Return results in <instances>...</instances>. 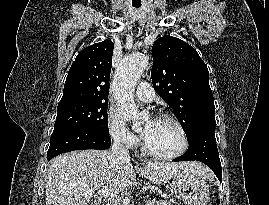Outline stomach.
I'll list each match as a JSON object with an SVG mask.
<instances>
[{
    "label": "stomach",
    "instance_id": "stomach-1",
    "mask_svg": "<svg viewBox=\"0 0 269 205\" xmlns=\"http://www.w3.org/2000/svg\"><path fill=\"white\" fill-rule=\"evenodd\" d=\"M171 194L184 205H206L209 188L204 179L191 172H180L172 177Z\"/></svg>",
    "mask_w": 269,
    "mask_h": 205
}]
</instances>
